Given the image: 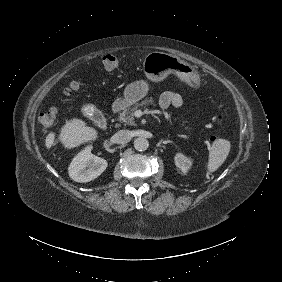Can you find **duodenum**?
Listing matches in <instances>:
<instances>
[{"mask_svg":"<svg viewBox=\"0 0 282 282\" xmlns=\"http://www.w3.org/2000/svg\"><path fill=\"white\" fill-rule=\"evenodd\" d=\"M124 106L125 104L122 100L114 102L110 110L111 116H115L119 111L124 108Z\"/></svg>","mask_w":282,"mask_h":282,"instance_id":"410a0bca","label":"duodenum"}]
</instances>
